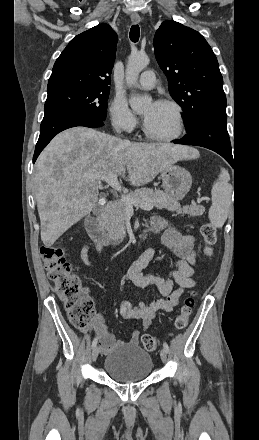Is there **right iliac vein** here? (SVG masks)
I'll return each mask as SVG.
<instances>
[{
  "label": "right iliac vein",
  "mask_w": 259,
  "mask_h": 440,
  "mask_svg": "<svg viewBox=\"0 0 259 440\" xmlns=\"http://www.w3.org/2000/svg\"><path fill=\"white\" fill-rule=\"evenodd\" d=\"M98 353H99V348L96 346L93 348L92 351V361L95 362L97 357H98Z\"/></svg>",
  "instance_id": "63e3f726"
}]
</instances>
